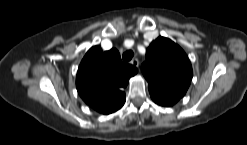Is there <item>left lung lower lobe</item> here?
<instances>
[{
  "instance_id": "left-lung-lower-lobe-1",
  "label": "left lung lower lobe",
  "mask_w": 247,
  "mask_h": 145,
  "mask_svg": "<svg viewBox=\"0 0 247 145\" xmlns=\"http://www.w3.org/2000/svg\"><path fill=\"white\" fill-rule=\"evenodd\" d=\"M150 92V96L152 98V100L161 106H172L174 105L179 98L159 92V91H155V90H149Z\"/></svg>"
}]
</instances>
